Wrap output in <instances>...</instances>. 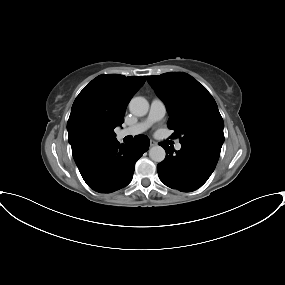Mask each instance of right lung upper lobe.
<instances>
[{
  "label": "right lung upper lobe",
  "mask_w": 285,
  "mask_h": 285,
  "mask_svg": "<svg viewBox=\"0 0 285 285\" xmlns=\"http://www.w3.org/2000/svg\"><path fill=\"white\" fill-rule=\"evenodd\" d=\"M145 80V76L100 75L79 93L67 122L73 155L96 145L97 133L124 122L126 107Z\"/></svg>",
  "instance_id": "cb5924a9"
}]
</instances>
